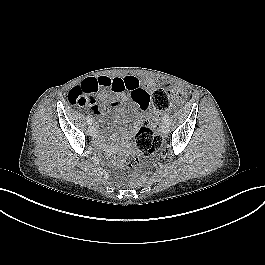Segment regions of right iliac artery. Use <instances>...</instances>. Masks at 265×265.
Segmentation results:
<instances>
[{"mask_svg":"<svg viewBox=\"0 0 265 265\" xmlns=\"http://www.w3.org/2000/svg\"><path fill=\"white\" fill-rule=\"evenodd\" d=\"M87 122H88V124H92V118L90 117V116H87Z\"/></svg>","mask_w":265,"mask_h":265,"instance_id":"82829eb1","label":"right iliac artery"}]
</instances>
